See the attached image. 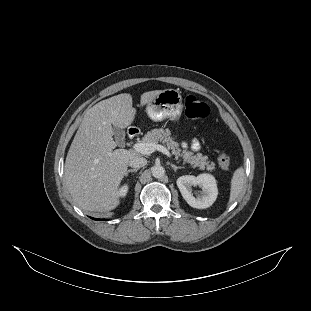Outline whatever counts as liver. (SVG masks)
I'll use <instances>...</instances> for the list:
<instances>
[{
    "label": "liver",
    "mask_w": 311,
    "mask_h": 311,
    "mask_svg": "<svg viewBox=\"0 0 311 311\" xmlns=\"http://www.w3.org/2000/svg\"><path fill=\"white\" fill-rule=\"evenodd\" d=\"M162 90L144 92L140 105L152 102ZM136 115L132 96L121 93L90 108L72 141L64 168V181L73 200L84 210L106 212L119 205L118 187L129 160L138 154L115 149L113 127L125 129Z\"/></svg>",
    "instance_id": "1"
}]
</instances>
